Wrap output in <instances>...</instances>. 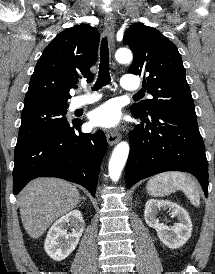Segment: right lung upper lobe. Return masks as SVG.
Masks as SVG:
<instances>
[{"mask_svg": "<svg viewBox=\"0 0 215 274\" xmlns=\"http://www.w3.org/2000/svg\"><path fill=\"white\" fill-rule=\"evenodd\" d=\"M99 33L88 24L67 28L44 49L31 77L24 109L43 104H67L69 90L81 78L91 81Z\"/></svg>", "mask_w": 215, "mask_h": 274, "instance_id": "cb5924a9", "label": "right lung upper lobe"}]
</instances>
